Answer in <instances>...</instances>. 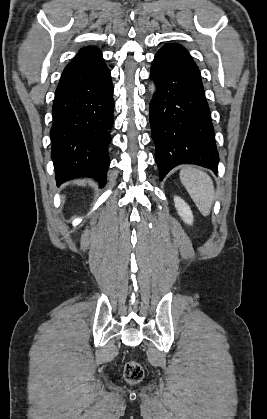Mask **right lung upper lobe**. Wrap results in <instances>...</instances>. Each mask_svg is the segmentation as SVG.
Wrapping results in <instances>:
<instances>
[{
  "mask_svg": "<svg viewBox=\"0 0 267 419\" xmlns=\"http://www.w3.org/2000/svg\"><path fill=\"white\" fill-rule=\"evenodd\" d=\"M102 53L97 47L88 46L79 51L72 62L97 63L102 62Z\"/></svg>",
  "mask_w": 267,
  "mask_h": 419,
  "instance_id": "1",
  "label": "right lung upper lobe"
}]
</instances>
